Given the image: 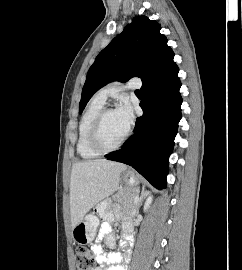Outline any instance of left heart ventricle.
I'll return each instance as SVG.
<instances>
[{"label":"left heart ventricle","mask_w":242,"mask_h":270,"mask_svg":"<svg viewBox=\"0 0 242 270\" xmlns=\"http://www.w3.org/2000/svg\"><path fill=\"white\" fill-rule=\"evenodd\" d=\"M127 129L124 127L118 113L113 111L109 113L102 125L101 142L105 146L115 145L125 134Z\"/></svg>","instance_id":"b2bd125f"}]
</instances>
